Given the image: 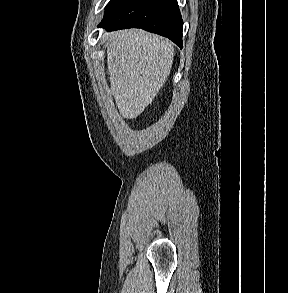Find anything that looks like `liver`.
Here are the masks:
<instances>
[{
  "instance_id": "1",
  "label": "liver",
  "mask_w": 288,
  "mask_h": 293,
  "mask_svg": "<svg viewBox=\"0 0 288 293\" xmlns=\"http://www.w3.org/2000/svg\"><path fill=\"white\" fill-rule=\"evenodd\" d=\"M107 68L120 114L139 116L166 82L173 64L174 44L141 29L107 35Z\"/></svg>"
}]
</instances>
